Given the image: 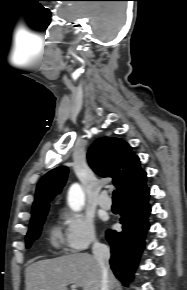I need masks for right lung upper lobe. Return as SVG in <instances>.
Here are the masks:
<instances>
[{
    "label": "right lung upper lobe",
    "instance_id": "right-lung-upper-lobe-1",
    "mask_svg": "<svg viewBox=\"0 0 187 290\" xmlns=\"http://www.w3.org/2000/svg\"><path fill=\"white\" fill-rule=\"evenodd\" d=\"M88 161L97 174L113 178L121 204L139 200L149 193L146 172L140 168L138 156L124 140L112 137L97 139L89 149ZM67 173L68 169L61 166L42 177L37 185L31 221L47 213L48 203L62 189Z\"/></svg>",
    "mask_w": 187,
    "mask_h": 290
}]
</instances>
